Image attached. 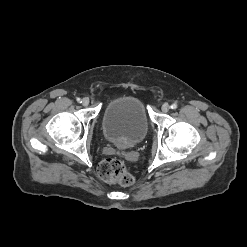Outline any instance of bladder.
I'll list each match as a JSON object with an SVG mask.
<instances>
[{"instance_id": "31cf9c89", "label": "bladder", "mask_w": 247, "mask_h": 247, "mask_svg": "<svg viewBox=\"0 0 247 247\" xmlns=\"http://www.w3.org/2000/svg\"><path fill=\"white\" fill-rule=\"evenodd\" d=\"M105 138L119 148L141 142L149 130V118L143 101L135 96H121L109 102L102 116Z\"/></svg>"}]
</instances>
